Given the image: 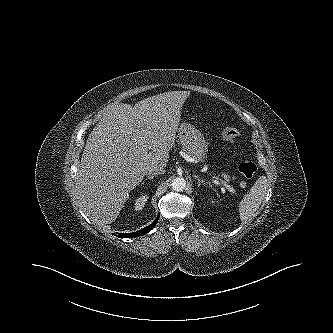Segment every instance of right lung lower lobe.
Segmentation results:
<instances>
[{"label": "right lung lower lobe", "mask_w": 333, "mask_h": 333, "mask_svg": "<svg viewBox=\"0 0 333 333\" xmlns=\"http://www.w3.org/2000/svg\"><path fill=\"white\" fill-rule=\"evenodd\" d=\"M157 221H154L151 225L145 227L144 229H141L137 232H133V233H118V235L114 234L115 236H118L120 238H129V237H138V236H142L146 233H148L149 231H151L154 226L156 225Z\"/></svg>", "instance_id": "obj_1"}]
</instances>
